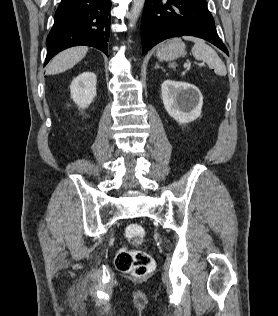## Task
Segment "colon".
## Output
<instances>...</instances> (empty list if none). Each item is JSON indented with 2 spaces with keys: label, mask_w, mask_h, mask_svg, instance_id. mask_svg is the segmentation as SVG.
<instances>
[{
  "label": "colon",
  "mask_w": 278,
  "mask_h": 316,
  "mask_svg": "<svg viewBox=\"0 0 278 316\" xmlns=\"http://www.w3.org/2000/svg\"><path fill=\"white\" fill-rule=\"evenodd\" d=\"M124 234L129 243L139 245L144 241L146 232L142 225L132 223L125 228ZM115 266L122 273L144 277L154 270L155 261L149 253L143 250L123 247L116 255Z\"/></svg>",
  "instance_id": "1"
}]
</instances>
